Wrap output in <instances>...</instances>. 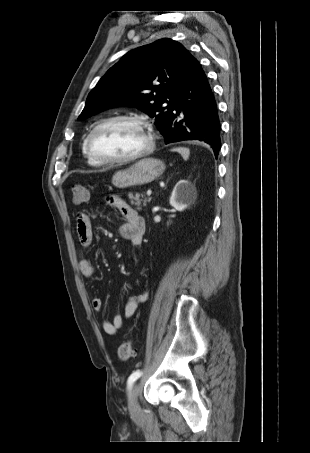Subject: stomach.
Masks as SVG:
<instances>
[{"instance_id":"0dacf381","label":"stomach","mask_w":310,"mask_h":453,"mask_svg":"<svg viewBox=\"0 0 310 453\" xmlns=\"http://www.w3.org/2000/svg\"><path fill=\"white\" fill-rule=\"evenodd\" d=\"M165 164L156 158H144L127 169L115 172L112 184L117 188H128L148 184L163 174Z\"/></svg>"}]
</instances>
